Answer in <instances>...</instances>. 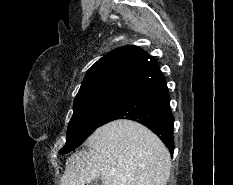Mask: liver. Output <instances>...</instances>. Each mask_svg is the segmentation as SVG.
<instances>
[{
	"label": "liver",
	"mask_w": 233,
	"mask_h": 185,
	"mask_svg": "<svg viewBox=\"0 0 233 185\" xmlns=\"http://www.w3.org/2000/svg\"><path fill=\"white\" fill-rule=\"evenodd\" d=\"M88 150L66 160L60 185H166L171 158L162 141L140 123L120 119L97 128Z\"/></svg>",
	"instance_id": "1"
}]
</instances>
